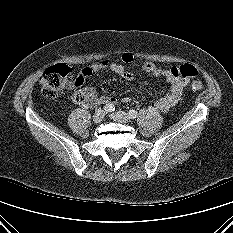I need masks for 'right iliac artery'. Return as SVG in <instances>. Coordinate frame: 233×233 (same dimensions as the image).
Instances as JSON below:
<instances>
[{
  "label": "right iliac artery",
  "mask_w": 233,
  "mask_h": 233,
  "mask_svg": "<svg viewBox=\"0 0 233 233\" xmlns=\"http://www.w3.org/2000/svg\"><path fill=\"white\" fill-rule=\"evenodd\" d=\"M106 113L113 112L115 110V106L112 104H107L103 107Z\"/></svg>",
  "instance_id": "obj_1"
}]
</instances>
